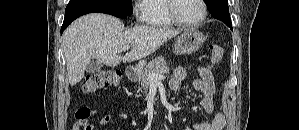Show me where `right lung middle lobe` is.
Segmentation results:
<instances>
[{
    "instance_id": "obj_1",
    "label": "right lung middle lobe",
    "mask_w": 299,
    "mask_h": 130,
    "mask_svg": "<svg viewBox=\"0 0 299 130\" xmlns=\"http://www.w3.org/2000/svg\"><path fill=\"white\" fill-rule=\"evenodd\" d=\"M132 0H70L68 6L89 5L112 9L130 16L133 13Z\"/></svg>"
}]
</instances>
